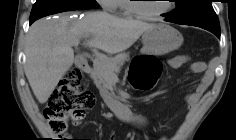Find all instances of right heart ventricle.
Segmentation results:
<instances>
[{
  "label": "right heart ventricle",
  "mask_w": 236,
  "mask_h": 140,
  "mask_svg": "<svg viewBox=\"0 0 236 140\" xmlns=\"http://www.w3.org/2000/svg\"><path fill=\"white\" fill-rule=\"evenodd\" d=\"M128 0H113V4L115 6V9H119L122 14L124 15H131V11L128 7Z\"/></svg>",
  "instance_id": "right-heart-ventricle-1"
}]
</instances>
